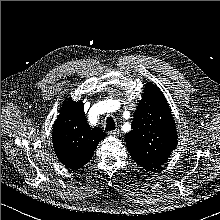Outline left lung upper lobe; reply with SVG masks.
<instances>
[{
	"label": "left lung upper lobe",
	"instance_id": "left-lung-upper-lobe-1",
	"mask_svg": "<svg viewBox=\"0 0 220 220\" xmlns=\"http://www.w3.org/2000/svg\"><path fill=\"white\" fill-rule=\"evenodd\" d=\"M133 160L147 170H156L177 145V131L168 103L160 89L148 83L135 111L132 129L125 136Z\"/></svg>",
	"mask_w": 220,
	"mask_h": 220
}]
</instances>
